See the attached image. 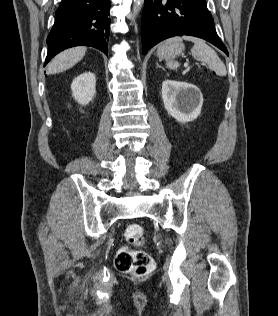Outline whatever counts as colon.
Instances as JSON below:
<instances>
[{
    "mask_svg": "<svg viewBox=\"0 0 278 316\" xmlns=\"http://www.w3.org/2000/svg\"><path fill=\"white\" fill-rule=\"evenodd\" d=\"M125 238L128 245L122 246L115 257V267L122 273L143 277L150 274L155 268L151 255L137 247L145 240L144 228L139 224H130L125 229Z\"/></svg>",
    "mask_w": 278,
    "mask_h": 316,
    "instance_id": "5ec220e1",
    "label": "colon"
}]
</instances>
